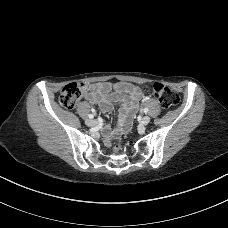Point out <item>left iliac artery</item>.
Returning a JSON list of instances; mask_svg holds the SVG:
<instances>
[{"instance_id":"44dca946","label":"left iliac artery","mask_w":228,"mask_h":228,"mask_svg":"<svg viewBox=\"0 0 228 228\" xmlns=\"http://www.w3.org/2000/svg\"><path fill=\"white\" fill-rule=\"evenodd\" d=\"M148 112V108H144V113H147Z\"/></svg>"}]
</instances>
